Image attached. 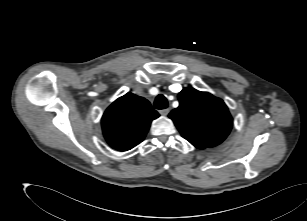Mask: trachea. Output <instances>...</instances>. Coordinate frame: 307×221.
Wrapping results in <instances>:
<instances>
[{
  "label": "trachea",
  "instance_id": "3493384b",
  "mask_svg": "<svg viewBox=\"0 0 307 221\" xmlns=\"http://www.w3.org/2000/svg\"><path fill=\"white\" fill-rule=\"evenodd\" d=\"M154 107L156 109H166L168 107V101L166 99V97L163 94H159L155 101H154Z\"/></svg>",
  "mask_w": 307,
  "mask_h": 221
}]
</instances>
